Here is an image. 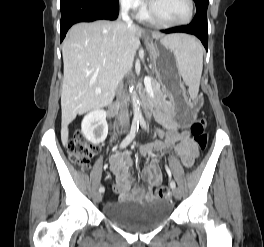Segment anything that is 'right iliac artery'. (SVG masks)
<instances>
[{"label":"right iliac artery","instance_id":"right-iliac-artery-1","mask_svg":"<svg viewBox=\"0 0 264 247\" xmlns=\"http://www.w3.org/2000/svg\"><path fill=\"white\" fill-rule=\"evenodd\" d=\"M138 129H139V121H133L130 133L126 136L125 139H123V141L120 144V148H125L132 142L136 133L138 132ZM104 190L105 188L103 186L99 188V192H104Z\"/></svg>","mask_w":264,"mask_h":247}]
</instances>
